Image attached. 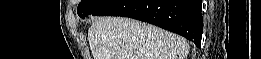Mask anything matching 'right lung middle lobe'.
I'll return each mask as SVG.
<instances>
[{
    "mask_svg": "<svg viewBox=\"0 0 261 59\" xmlns=\"http://www.w3.org/2000/svg\"><path fill=\"white\" fill-rule=\"evenodd\" d=\"M111 0H82L78 5L77 13L81 18L94 14Z\"/></svg>",
    "mask_w": 261,
    "mask_h": 59,
    "instance_id": "dd1d6c3e",
    "label": "right lung middle lobe"
}]
</instances>
